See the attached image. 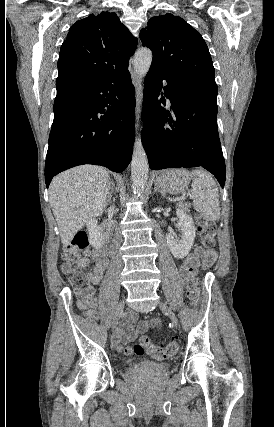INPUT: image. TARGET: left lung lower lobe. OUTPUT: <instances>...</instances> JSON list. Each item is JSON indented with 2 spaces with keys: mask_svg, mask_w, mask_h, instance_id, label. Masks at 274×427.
<instances>
[{
  "mask_svg": "<svg viewBox=\"0 0 274 427\" xmlns=\"http://www.w3.org/2000/svg\"><path fill=\"white\" fill-rule=\"evenodd\" d=\"M167 81L163 87L162 81ZM165 96L171 102L164 109ZM217 92L185 84L151 67L144 84L142 143L151 169L203 167L225 184L216 122Z\"/></svg>",
  "mask_w": 274,
  "mask_h": 427,
  "instance_id": "1",
  "label": "left lung lower lobe"
}]
</instances>
